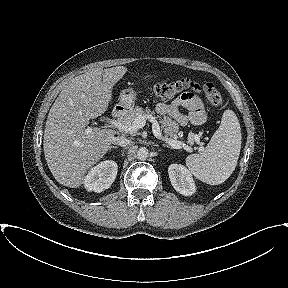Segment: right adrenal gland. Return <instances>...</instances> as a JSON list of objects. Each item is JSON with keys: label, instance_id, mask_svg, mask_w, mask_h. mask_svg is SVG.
Masks as SVG:
<instances>
[{"label": "right adrenal gland", "instance_id": "1", "mask_svg": "<svg viewBox=\"0 0 288 288\" xmlns=\"http://www.w3.org/2000/svg\"><path fill=\"white\" fill-rule=\"evenodd\" d=\"M117 148H118L117 146H111L109 150L111 151L112 149H117Z\"/></svg>", "mask_w": 288, "mask_h": 288}]
</instances>
